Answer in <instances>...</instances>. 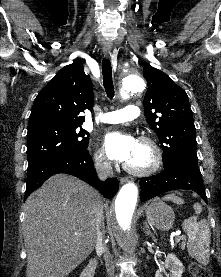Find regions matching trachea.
Wrapping results in <instances>:
<instances>
[{"instance_id":"3493384b","label":"trachea","mask_w":221,"mask_h":277,"mask_svg":"<svg viewBox=\"0 0 221 277\" xmlns=\"http://www.w3.org/2000/svg\"><path fill=\"white\" fill-rule=\"evenodd\" d=\"M103 84L107 96L112 99L114 97V86L112 81V67L109 59L104 58L102 61Z\"/></svg>"}]
</instances>
